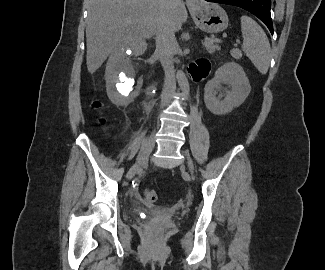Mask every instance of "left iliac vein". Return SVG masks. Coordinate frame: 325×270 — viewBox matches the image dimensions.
Listing matches in <instances>:
<instances>
[{
	"label": "left iliac vein",
	"instance_id": "4c4485c4",
	"mask_svg": "<svg viewBox=\"0 0 325 270\" xmlns=\"http://www.w3.org/2000/svg\"><path fill=\"white\" fill-rule=\"evenodd\" d=\"M186 158H187L188 169H189L190 173L193 174L194 173V165L189 157L186 156Z\"/></svg>",
	"mask_w": 325,
	"mask_h": 270
}]
</instances>
